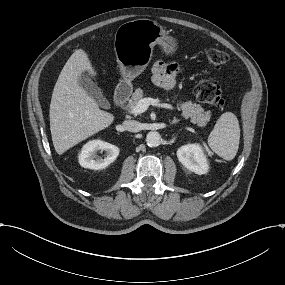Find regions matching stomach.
Instances as JSON below:
<instances>
[{"label": "stomach", "mask_w": 285, "mask_h": 285, "mask_svg": "<svg viewBox=\"0 0 285 285\" xmlns=\"http://www.w3.org/2000/svg\"><path fill=\"white\" fill-rule=\"evenodd\" d=\"M155 46H159L162 55L174 57L180 45L162 25L151 19H137L119 26L114 51L125 82L131 83L146 69Z\"/></svg>", "instance_id": "stomach-1"}]
</instances>
